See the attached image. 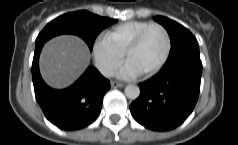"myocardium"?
I'll use <instances>...</instances> for the list:
<instances>
[{
    "mask_svg": "<svg viewBox=\"0 0 238 145\" xmlns=\"http://www.w3.org/2000/svg\"><path fill=\"white\" fill-rule=\"evenodd\" d=\"M152 28H159L163 31L164 35H165V40H166V46H165V50L164 53L161 57V59L159 60V62L149 71L141 74L142 77H150L152 75H154L155 73H157L162 67L163 65L166 63L170 52H171V47H172V42H171V36L170 33L168 31V29L160 24V23H151L148 26H146L144 29H142L137 35L136 37L130 42V44L127 46L125 52H124V57L127 60L128 55L130 54V52H132L133 50H135L142 42V40L144 39L145 35L152 29Z\"/></svg>",
    "mask_w": 238,
    "mask_h": 145,
    "instance_id": "f54148a6",
    "label": "myocardium"
}]
</instances>
